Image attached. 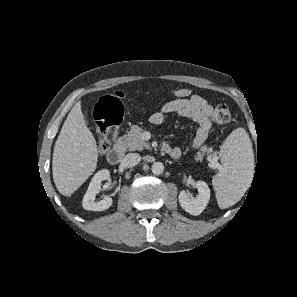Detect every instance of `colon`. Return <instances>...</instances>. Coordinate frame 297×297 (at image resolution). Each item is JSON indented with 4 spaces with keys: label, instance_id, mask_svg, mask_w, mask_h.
<instances>
[{
    "label": "colon",
    "instance_id": "5ec220e1",
    "mask_svg": "<svg viewBox=\"0 0 297 297\" xmlns=\"http://www.w3.org/2000/svg\"><path fill=\"white\" fill-rule=\"evenodd\" d=\"M176 98L185 99L192 95L189 88H179L173 92ZM124 94L116 92L102 97L95 106L94 117L100 134L99 152L105 154L111 147V137L123 119L121 98ZM212 120L217 125H226L231 120V112L227 105L219 104L212 113Z\"/></svg>",
    "mask_w": 297,
    "mask_h": 297
}]
</instances>
